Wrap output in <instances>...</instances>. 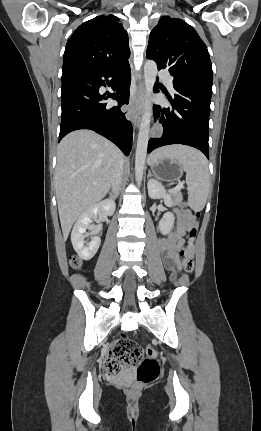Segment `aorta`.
Listing matches in <instances>:
<instances>
[{
	"label": "aorta",
	"mask_w": 261,
	"mask_h": 431,
	"mask_svg": "<svg viewBox=\"0 0 261 431\" xmlns=\"http://www.w3.org/2000/svg\"><path fill=\"white\" fill-rule=\"evenodd\" d=\"M156 76H157V64L153 60L146 61L144 65V80H145V91L148 99L146 102V107L140 124L138 140H137L136 156H135V176H136V182L138 185H140L142 181L144 167H145V160L147 155V146H148L149 131H150V118H151V102L149 98L153 92Z\"/></svg>",
	"instance_id": "1"
}]
</instances>
